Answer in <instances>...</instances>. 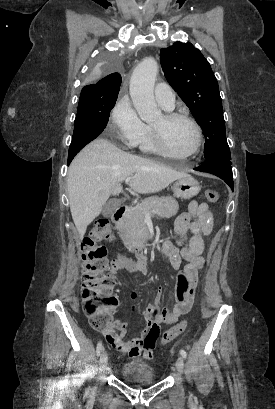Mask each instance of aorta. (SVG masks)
Listing matches in <instances>:
<instances>
[{"instance_id": "aorta-1", "label": "aorta", "mask_w": 275, "mask_h": 409, "mask_svg": "<svg viewBox=\"0 0 275 409\" xmlns=\"http://www.w3.org/2000/svg\"><path fill=\"white\" fill-rule=\"evenodd\" d=\"M157 72V60L153 56H146L134 68L130 80V96L133 104L140 118L146 122L157 120L162 114L154 96V82Z\"/></svg>"}]
</instances>
